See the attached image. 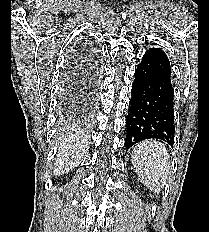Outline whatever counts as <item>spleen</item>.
<instances>
[{
    "label": "spleen",
    "mask_w": 209,
    "mask_h": 232,
    "mask_svg": "<svg viewBox=\"0 0 209 232\" xmlns=\"http://www.w3.org/2000/svg\"><path fill=\"white\" fill-rule=\"evenodd\" d=\"M168 160L166 147L156 140L138 143L131 156L135 172L155 192L166 185L170 170Z\"/></svg>",
    "instance_id": "obj_1"
}]
</instances>
